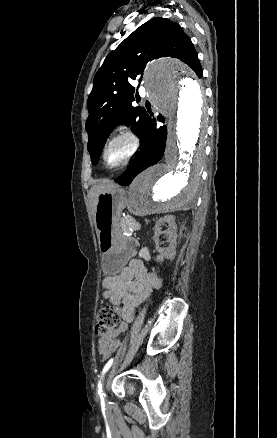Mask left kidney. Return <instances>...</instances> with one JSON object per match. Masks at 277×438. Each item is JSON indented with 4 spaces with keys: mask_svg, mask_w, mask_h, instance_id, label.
Here are the masks:
<instances>
[{
    "mask_svg": "<svg viewBox=\"0 0 277 438\" xmlns=\"http://www.w3.org/2000/svg\"><path fill=\"white\" fill-rule=\"evenodd\" d=\"M163 222H168L169 226H170V230H168V232H161L160 230V226H162ZM155 230V236L157 238L156 242H157V246H159V240H158V236L159 234H167L169 240V246L168 248H158V252H163V250H165L164 252V256L165 258H167V260H174L175 256H176V248H177V224L174 220V216H164V218H160V220H158V222H156V226L154 228Z\"/></svg>",
    "mask_w": 277,
    "mask_h": 438,
    "instance_id": "5707ae66",
    "label": "left kidney"
}]
</instances>
